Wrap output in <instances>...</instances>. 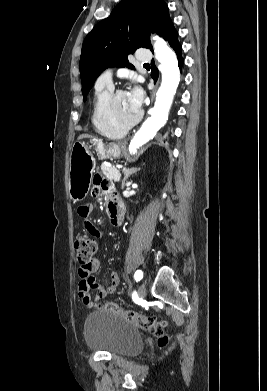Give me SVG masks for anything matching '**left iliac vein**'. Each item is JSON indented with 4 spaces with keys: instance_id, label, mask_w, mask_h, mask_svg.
<instances>
[{
    "instance_id": "left-iliac-vein-1",
    "label": "left iliac vein",
    "mask_w": 267,
    "mask_h": 391,
    "mask_svg": "<svg viewBox=\"0 0 267 391\" xmlns=\"http://www.w3.org/2000/svg\"><path fill=\"white\" fill-rule=\"evenodd\" d=\"M146 293H147L146 286L144 284L140 285V287H139V296L141 298H144L146 296Z\"/></svg>"
}]
</instances>
